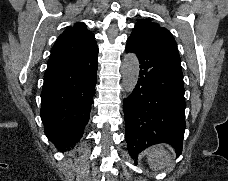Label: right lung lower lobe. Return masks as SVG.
I'll list each match as a JSON object with an SVG mask.
<instances>
[{
  "mask_svg": "<svg viewBox=\"0 0 228 181\" xmlns=\"http://www.w3.org/2000/svg\"><path fill=\"white\" fill-rule=\"evenodd\" d=\"M98 47L48 63L41 93V119L48 139L64 152L76 144L89 120L97 82Z\"/></svg>",
  "mask_w": 228,
  "mask_h": 181,
  "instance_id": "right-lung-lower-lobe-1",
  "label": "right lung lower lobe"
}]
</instances>
